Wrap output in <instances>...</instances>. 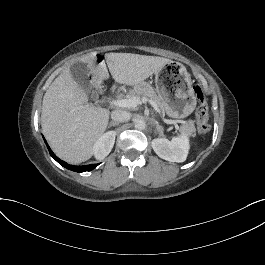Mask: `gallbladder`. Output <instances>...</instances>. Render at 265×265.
<instances>
[{"label": "gallbladder", "mask_w": 265, "mask_h": 265, "mask_svg": "<svg viewBox=\"0 0 265 265\" xmlns=\"http://www.w3.org/2000/svg\"><path fill=\"white\" fill-rule=\"evenodd\" d=\"M70 72L74 81L86 94H89L92 86L88 80L86 68L80 63H74L70 68ZM91 98H97V95H92Z\"/></svg>", "instance_id": "gallbladder-1"}]
</instances>
